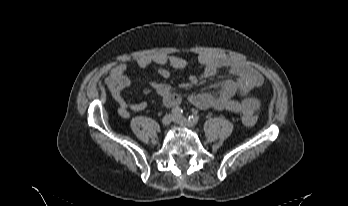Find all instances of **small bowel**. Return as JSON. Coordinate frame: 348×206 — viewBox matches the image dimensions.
I'll use <instances>...</instances> for the list:
<instances>
[{"mask_svg": "<svg viewBox=\"0 0 348 206\" xmlns=\"http://www.w3.org/2000/svg\"><path fill=\"white\" fill-rule=\"evenodd\" d=\"M135 63L140 68H146L152 64L159 66L170 65L175 69H182L186 66V61L179 56L157 54L153 56L142 55L135 59ZM198 63L201 67L200 75H192L190 80L181 84L182 90H188L196 85L201 79L214 76L221 68L230 69L236 76V79L226 80L222 89L216 93H192L190 95L191 103L200 109L226 110L233 113L244 114L246 112H255L259 103L250 98L249 93L260 86L264 79L262 75L246 62L236 60L230 57L202 53L198 56ZM127 63H120L113 67L104 78L112 98L118 104V112L121 117L128 119L131 111H142L147 107L146 102L132 103L125 100L123 91L130 88L136 80L126 74ZM159 74L163 78H168L170 73L165 68L159 69ZM149 86L158 94L167 107H176L181 102V96L175 92L169 85L151 81ZM236 96H241L240 101L235 100Z\"/></svg>", "mask_w": 348, "mask_h": 206, "instance_id": "c3829d8e", "label": "small bowel"}]
</instances>
